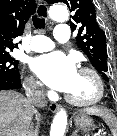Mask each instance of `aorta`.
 Returning a JSON list of instances; mask_svg holds the SVG:
<instances>
[{"instance_id": "aorta-1", "label": "aorta", "mask_w": 117, "mask_h": 136, "mask_svg": "<svg viewBox=\"0 0 117 136\" xmlns=\"http://www.w3.org/2000/svg\"><path fill=\"white\" fill-rule=\"evenodd\" d=\"M49 16L53 21L65 22L69 18V13L64 5H53L49 10ZM66 125L67 113L65 110H60L53 119L50 136H64Z\"/></svg>"}]
</instances>
